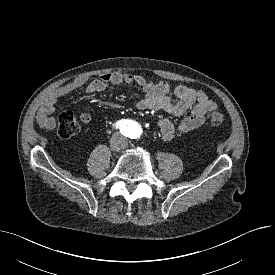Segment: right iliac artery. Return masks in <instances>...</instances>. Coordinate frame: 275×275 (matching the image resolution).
Segmentation results:
<instances>
[{
  "label": "right iliac artery",
  "instance_id": "obj_1",
  "mask_svg": "<svg viewBox=\"0 0 275 275\" xmlns=\"http://www.w3.org/2000/svg\"><path fill=\"white\" fill-rule=\"evenodd\" d=\"M123 126H124V123H123L122 121H118V122H116V124H115V127H116V128H119V129L123 128Z\"/></svg>",
  "mask_w": 275,
  "mask_h": 275
}]
</instances>
